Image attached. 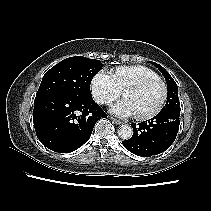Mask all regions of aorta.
<instances>
[{"label": "aorta", "instance_id": "aorta-1", "mask_svg": "<svg viewBox=\"0 0 211 211\" xmlns=\"http://www.w3.org/2000/svg\"><path fill=\"white\" fill-rule=\"evenodd\" d=\"M118 135L121 139L123 140H128L132 137L133 135V129L130 125H121L118 128Z\"/></svg>", "mask_w": 211, "mask_h": 211}]
</instances>
